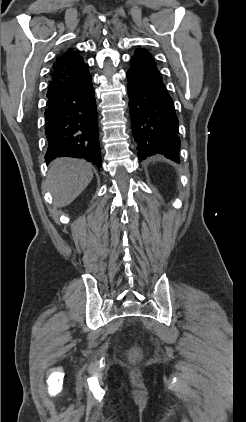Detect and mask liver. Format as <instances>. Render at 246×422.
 <instances>
[{
	"label": "liver",
	"instance_id": "liver-1",
	"mask_svg": "<svg viewBox=\"0 0 246 422\" xmlns=\"http://www.w3.org/2000/svg\"><path fill=\"white\" fill-rule=\"evenodd\" d=\"M93 178L92 166L84 160L58 158L47 174L46 186L54 197L55 207L72 203Z\"/></svg>",
	"mask_w": 246,
	"mask_h": 422
}]
</instances>
